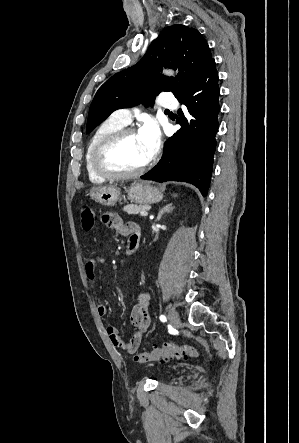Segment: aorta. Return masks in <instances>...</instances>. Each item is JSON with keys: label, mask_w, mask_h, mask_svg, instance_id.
Listing matches in <instances>:
<instances>
[{"label": "aorta", "mask_w": 299, "mask_h": 443, "mask_svg": "<svg viewBox=\"0 0 299 443\" xmlns=\"http://www.w3.org/2000/svg\"><path fill=\"white\" fill-rule=\"evenodd\" d=\"M166 73H167V74H171V72H169V71H168V72H166Z\"/></svg>", "instance_id": "762f6f07"}]
</instances>
